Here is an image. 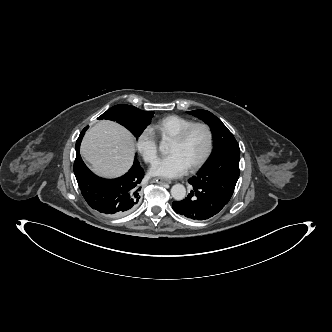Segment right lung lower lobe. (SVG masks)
Instances as JSON below:
<instances>
[{
  "label": "right lung lower lobe",
  "mask_w": 332,
  "mask_h": 332,
  "mask_svg": "<svg viewBox=\"0 0 332 332\" xmlns=\"http://www.w3.org/2000/svg\"><path fill=\"white\" fill-rule=\"evenodd\" d=\"M88 126L82 130L76 142L74 173L81 193L88 205L108 217H121L131 213L140 201V183L144 171L137 159L132 168L116 179H104L94 175L79 154L81 140Z\"/></svg>",
  "instance_id": "obj_1"
}]
</instances>
